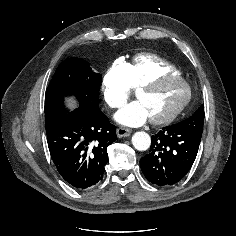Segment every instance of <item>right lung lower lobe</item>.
<instances>
[{
    "instance_id": "98d812e1",
    "label": "right lung lower lobe",
    "mask_w": 236,
    "mask_h": 236,
    "mask_svg": "<svg viewBox=\"0 0 236 236\" xmlns=\"http://www.w3.org/2000/svg\"><path fill=\"white\" fill-rule=\"evenodd\" d=\"M45 127L51 158L66 182L83 190L103 178L107 147L117 136L115 126L99 107L50 116Z\"/></svg>"
}]
</instances>
